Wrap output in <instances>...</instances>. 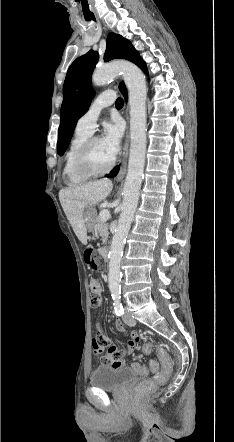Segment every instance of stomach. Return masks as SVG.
<instances>
[{"label": "stomach", "instance_id": "stomach-1", "mask_svg": "<svg viewBox=\"0 0 234 442\" xmlns=\"http://www.w3.org/2000/svg\"><path fill=\"white\" fill-rule=\"evenodd\" d=\"M84 225L88 232H94L96 226V210L93 206L87 207L84 211Z\"/></svg>", "mask_w": 234, "mask_h": 442}]
</instances>
